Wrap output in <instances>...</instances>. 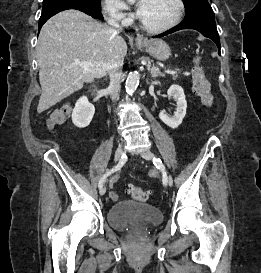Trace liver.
<instances>
[{
	"mask_svg": "<svg viewBox=\"0 0 261 273\" xmlns=\"http://www.w3.org/2000/svg\"><path fill=\"white\" fill-rule=\"evenodd\" d=\"M126 53L127 44L118 30L81 11L65 10L50 18L40 31L36 51L42 88L38 113L102 77ZM77 61L95 66L86 71Z\"/></svg>",
	"mask_w": 261,
	"mask_h": 273,
	"instance_id": "6515ba94",
	"label": "liver"
}]
</instances>
